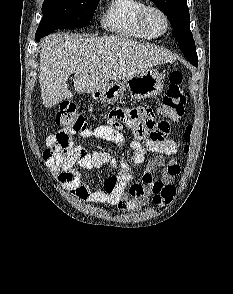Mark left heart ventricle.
<instances>
[{
    "label": "left heart ventricle",
    "mask_w": 233,
    "mask_h": 294,
    "mask_svg": "<svg viewBox=\"0 0 233 294\" xmlns=\"http://www.w3.org/2000/svg\"><path fill=\"white\" fill-rule=\"evenodd\" d=\"M150 22L152 27L156 30V31H162L164 28V23L162 21V19L157 16V15H152L150 17Z\"/></svg>",
    "instance_id": "1"
}]
</instances>
